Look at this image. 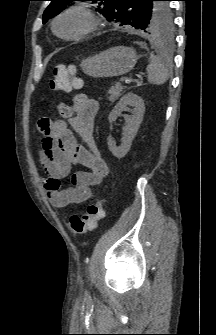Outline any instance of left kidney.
Returning <instances> with one entry per match:
<instances>
[{"mask_svg": "<svg viewBox=\"0 0 216 335\" xmlns=\"http://www.w3.org/2000/svg\"><path fill=\"white\" fill-rule=\"evenodd\" d=\"M128 106L133 107L132 115H125V126L123 127L122 142L119 146H116L115 142L111 137L107 138L108 149L117 158L124 157L132 145V141L136 136V133L143 121L145 112L144 101L138 95L130 92L124 95L120 101L116 104L114 109L109 114L108 120L110 123L116 121L118 116L128 109Z\"/></svg>", "mask_w": 216, "mask_h": 335, "instance_id": "1", "label": "left kidney"}]
</instances>
